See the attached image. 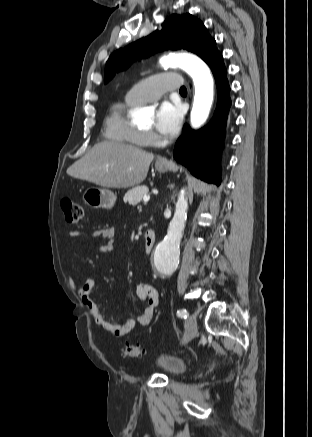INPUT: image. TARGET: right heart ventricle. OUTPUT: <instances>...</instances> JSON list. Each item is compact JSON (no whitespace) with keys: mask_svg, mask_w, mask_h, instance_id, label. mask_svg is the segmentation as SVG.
<instances>
[{"mask_svg":"<svg viewBox=\"0 0 312 437\" xmlns=\"http://www.w3.org/2000/svg\"><path fill=\"white\" fill-rule=\"evenodd\" d=\"M136 105L137 103L125 99L111 107L104 125L107 139L117 144L136 147L147 144L145 134L131 123L127 114L128 108Z\"/></svg>","mask_w":312,"mask_h":437,"instance_id":"1","label":"right heart ventricle"}]
</instances>
